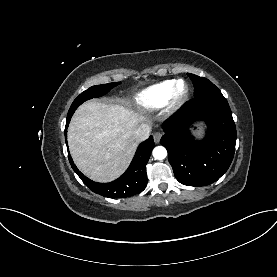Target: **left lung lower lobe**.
Listing matches in <instances>:
<instances>
[{
  "label": "left lung lower lobe",
  "instance_id": "left-lung-lower-lobe-1",
  "mask_svg": "<svg viewBox=\"0 0 277 277\" xmlns=\"http://www.w3.org/2000/svg\"><path fill=\"white\" fill-rule=\"evenodd\" d=\"M195 120H205L208 133L197 141L190 133ZM160 143L176 179L187 186H206L229 168L236 144V127L226 98L221 92L207 93L188 101L163 125Z\"/></svg>",
  "mask_w": 277,
  "mask_h": 277
}]
</instances>
